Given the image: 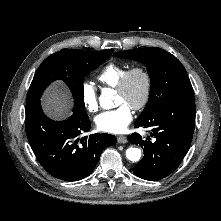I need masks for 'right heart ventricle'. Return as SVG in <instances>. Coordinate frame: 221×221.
<instances>
[{
    "label": "right heart ventricle",
    "instance_id": "e07e8e85",
    "mask_svg": "<svg viewBox=\"0 0 221 221\" xmlns=\"http://www.w3.org/2000/svg\"><path fill=\"white\" fill-rule=\"evenodd\" d=\"M127 68L126 65L111 62L101 70L98 80L104 86L115 88Z\"/></svg>",
    "mask_w": 221,
    "mask_h": 221
}]
</instances>
